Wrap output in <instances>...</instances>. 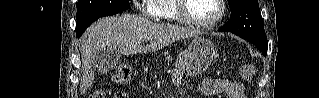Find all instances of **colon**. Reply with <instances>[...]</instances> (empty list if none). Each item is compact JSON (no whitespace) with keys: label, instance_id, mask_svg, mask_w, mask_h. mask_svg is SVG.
Masks as SVG:
<instances>
[{"label":"colon","instance_id":"colon-1","mask_svg":"<svg viewBox=\"0 0 319 98\" xmlns=\"http://www.w3.org/2000/svg\"><path fill=\"white\" fill-rule=\"evenodd\" d=\"M131 75V70L127 65H122L114 73L113 79L116 83H126ZM89 98H106L105 94L102 91H94L89 95ZM115 98H128L126 93H117Z\"/></svg>","mask_w":319,"mask_h":98}]
</instances>
